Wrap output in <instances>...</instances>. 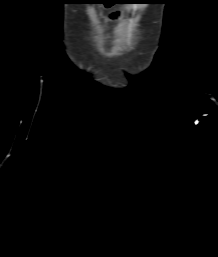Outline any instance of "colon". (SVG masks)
Wrapping results in <instances>:
<instances>
[{
	"label": "colon",
	"mask_w": 218,
	"mask_h": 257,
	"mask_svg": "<svg viewBox=\"0 0 218 257\" xmlns=\"http://www.w3.org/2000/svg\"><path fill=\"white\" fill-rule=\"evenodd\" d=\"M103 10H127V5H103Z\"/></svg>",
	"instance_id": "colon-1"
}]
</instances>
